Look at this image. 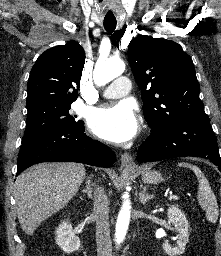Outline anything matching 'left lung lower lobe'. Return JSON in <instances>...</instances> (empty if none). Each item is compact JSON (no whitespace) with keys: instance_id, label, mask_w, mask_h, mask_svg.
Listing matches in <instances>:
<instances>
[{"instance_id":"left-lung-lower-lobe-1","label":"left lung lower lobe","mask_w":221,"mask_h":256,"mask_svg":"<svg viewBox=\"0 0 221 256\" xmlns=\"http://www.w3.org/2000/svg\"><path fill=\"white\" fill-rule=\"evenodd\" d=\"M187 156L207 158L221 171L217 140L209 118L183 121L168 128L151 130L139 147L137 161L151 162Z\"/></svg>"}]
</instances>
